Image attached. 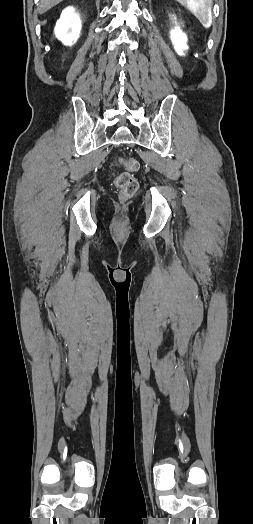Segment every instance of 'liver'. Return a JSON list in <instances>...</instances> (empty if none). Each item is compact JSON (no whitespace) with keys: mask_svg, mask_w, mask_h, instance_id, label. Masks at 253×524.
<instances>
[{"mask_svg":"<svg viewBox=\"0 0 253 524\" xmlns=\"http://www.w3.org/2000/svg\"><path fill=\"white\" fill-rule=\"evenodd\" d=\"M62 1L63 0H41L39 4V13H45L46 11H48L49 9L56 6Z\"/></svg>","mask_w":253,"mask_h":524,"instance_id":"liver-1","label":"liver"}]
</instances>
